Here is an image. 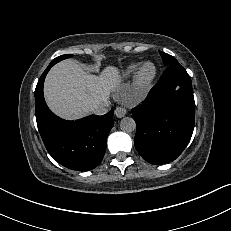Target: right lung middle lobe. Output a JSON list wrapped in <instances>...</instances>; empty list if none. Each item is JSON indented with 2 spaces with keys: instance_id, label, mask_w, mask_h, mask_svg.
I'll return each mask as SVG.
<instances>
[{
  "instance_id": "dd1d6c3e",
  "label": "right lung middle lobe",
  "mask_w": 231,
  "mask_h": 231,
  "mask_svg": "<svg viewBox=\"0 0 231 231\" xmlns=\"http://www.w3.org/2000/svg\"><path fill=\"white\" fill-rule=\"evenodd\" d=\"M70 56H71L70 54L62 55V56H59V57L55 58L53 61L55 63H57V62H59V61H61L63 59L69 58Z\"/></svg>"
}]
</instances>
